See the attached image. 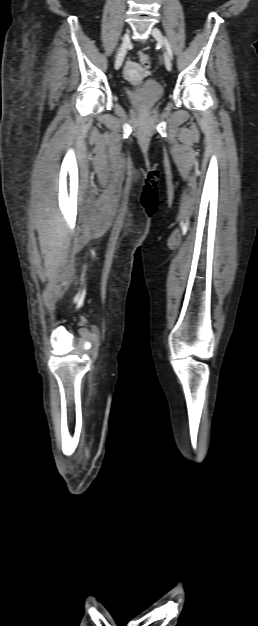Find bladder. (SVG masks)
<instances>
[{
  "mask_svg": "<svg viewBox=\"0 0 258 626\" xmlns=\"http://www.w3.org/2000/svg\"><path fill=\"white\" fill-rule=\"evenodd\" d=\"M164 95L163 86L155 79H147L140 86L127 92L130 104L145 109L156 105Z\"/></svg>",
  "mask_w": 258,
  "mask_h": 626,
  "instance_id": "1",
  "label": "bladder"
}]
</instances>
